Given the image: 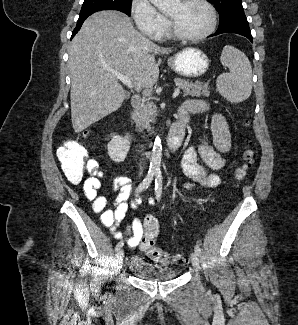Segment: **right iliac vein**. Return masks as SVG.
Returning a JSON list of instances; mask_svg holds the SVG:
<instances>
[{
    "label": "right iliac vein",
    "mask_w": 298,
    "mask_h": 325,
    "mask_svg": "<svg viewBox=\"0 0 298 325\" xmlns=\"http://www.w3.org/2000/svg\"><path fill=\"white\" fill-rule=\"evenodd\" d=\"M123 259H124V251H123V249H120L116 254L115 266H116L117 272L120 271V269L122 268Z\"/></svg>",
    "instance_id": "right-iliac-vein-1"
}]
</instances>
